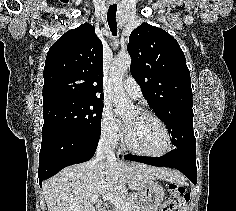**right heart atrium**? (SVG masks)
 <instances>
[{
  "instance_id": "d8ad5b80",
  "label": "right heart atrium",
  "mask_w": 236,
  "mask_h": 211,
  "mask_svg": "<svg viewBox=\"0 0 236 211\" xmlns=\"http://www.w3.org/2000/svg\"><path fill=\"white\" fill-rule=\"evenodd\" d=\"M123 136V127L115 117L109 105L103 107L100 120V137L103 142L110 146H117Z\"/></svg>"
}]
</instances>
